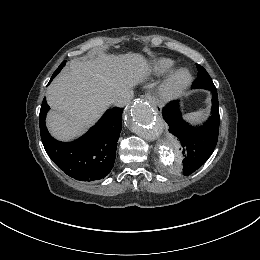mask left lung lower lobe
Wrapping results in <instances>:
<instances>
[{
  "label": "left lung lower lobe",
  "instance_id": "0a47b994",
  "mask_svg": "<svg viewBox=\"0 0 260 260\" xmlns=\"http://www.w3.org/2000/svg\"><path fill=\"white\" fill-rule=\"evenodd\" d=\"M212 95L211 118L201 126H191L183 120L180 102L172 101L162 110V116L169 126V132L177 138L183 156L182 172L190 175L200 168L211 156L218 140L219 104L216 88Z\"/></svg>",
  "mask_w": 260,
  "mask_h": 260
}]
</instances>
